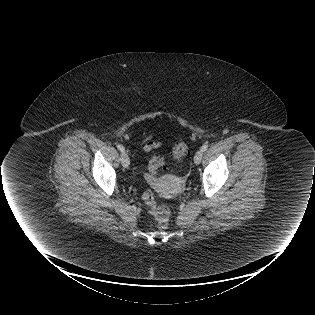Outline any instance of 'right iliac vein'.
Instances as JSON below:
<instances>
[{
  "label": "right iliac vein",
  "instance_id": "obj_1",
  "mask_svg": "<svg viewBox=\"0 0 315 315\" xmlns=\"http://www.w3.org/2000/svg\"><path fill=\"white\" fill-rule=\"evenodd\" d=\"M120 159H121L122 166H123L124 168H126V169L129 168L130 160H129V157H128L127 153L122 152Z\"/></svg>",
  "mask_w": 315,
  "mask_h": 315
}]
</instances>
